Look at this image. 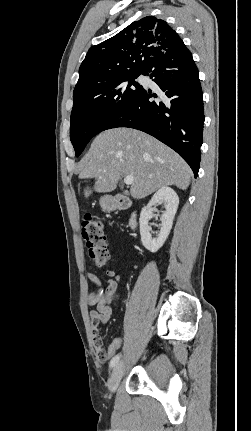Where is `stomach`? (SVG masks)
<instances>
[{
    "mask_svg": "<svg viewBox=\"0 0 251 431\" xmlns=\"http://www.w3.org/2000/svg\"><path fill=\"white\" fill-rule=\"evenodd\" d=\"M100 205L104 210H112L116 207L114 200L109 196H104L100 199Z\"/></svg>",
    "mask_w": 251,
    "mask_h": 431,
    "instance_id": "0dacf381",
    "label": "stomach"
}]
</instances>
